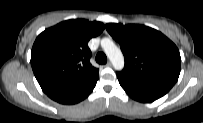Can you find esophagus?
I'll return each mask as SVG.
<instances>
[{"mask_svg": "<svg viewBox=\"0 0 203 123\" xmlns=\"http://www.w3.org/2000/svg\"><path fill=\"white\" fill-rule=\"evenodd\" d=\"M105 66H106V67H111V66H112V63H111V62H107Z\"/></svg>", "mask_w": 203, "mask_h": 123, "instance_id": "34e87169", "label": "esophagus"}]
</instances>
